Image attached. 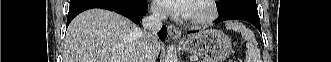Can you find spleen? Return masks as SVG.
Wrapping results in <instances>:
<instances>
[{"label": "spleen", "mask_w": 331, "mask_h": 62, "mask_svg": "<svg viewBox=\"0 0 331 62\" xmlns=\"http://www.w3.org/2000/svg\"><path fill=\"white\" fill-rule=\"evenodd\" d=\"M226 28L240 32L242 38L247 41L245 62H259L260 51L253 32L239 22H227Z\"/></svg>", "instance_id": "1"}]
</instances>
